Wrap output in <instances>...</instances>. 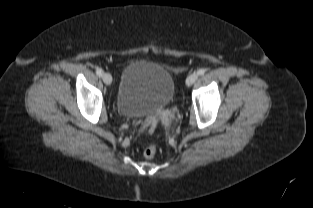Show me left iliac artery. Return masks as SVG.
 <instances>
[{
	"instance_id": "left-iliac-artery-1",
	"label": "left iliac artery",
	"mask_w": 313,
	"mask_h": 208,
	"mask_svg": "<svg viewBox=\"0 0 313 208\" xmlns=\"http://www.w3.org/2000/svg\"><path fill=\"white\" fill-rule=\"evenodd\" d=\"M204 73H205V69H203V68H201V69H199V70L197 71V74H198V75H204Z\"/></svg>"
}]
</instances>
